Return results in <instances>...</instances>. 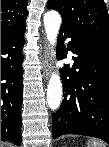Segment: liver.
Returning a JSON list of instances; mask_svg holds the SVG:
<instances>
[{
  "instance_id": "1",
  "label": "liver",
  "mask_w": 109,
  "mask_h": 147,
  "mask_svg": "<svg viewBox=\"0 0 109 147\" xmlns=\"http://www.w3.org/2000/svg\"><path fill=\"white\" fill-rule=\"evenodd\" d=\"M2 146H3V147H8L9 144H7V143H2Z\"/></svg>"
}]
</instances>
